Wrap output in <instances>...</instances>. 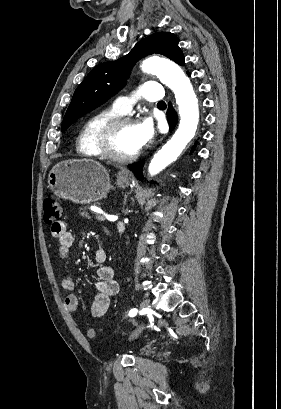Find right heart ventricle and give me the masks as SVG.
<instances>
[{"mask_svg": "<svg viewBox=\"0 0 281 409\" xmlns=\"http://www.w3.org/2000/svg\"><path fill=\"white\" fill-rule=\"evenodd\" d=\"M118 116L114 110L104 109L92 114L85 122L81 131L78 149L88 157H103L98 147V134L101 126L108 120Z\"/></svg>", "mask_w": 281, "mask_h": 409, "instance_id": "e07e8e85", "label": "right heart ventricle"}]
</instances>
